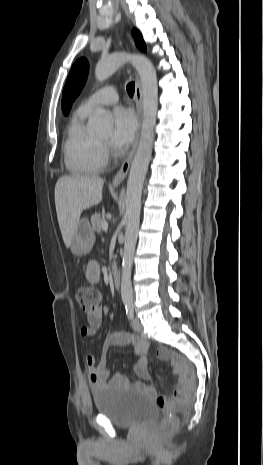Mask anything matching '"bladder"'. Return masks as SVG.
Here are the masks:
<instances>
[{"label":"bladder","instance_id":"1","mask_svg":"<svg viewBox=\"0 0 263 465\" xmlns=\"http://www.w3.org/2000/svg\"><path fill=\"white\" fill-rule=\"evenodd\" d=\"M99 414L121 428H131L153 420L158 413L154 401L135 388L107 386L93 395Z\"/></svg>","mask_w":263,"mask_h":465}]
</instances>
